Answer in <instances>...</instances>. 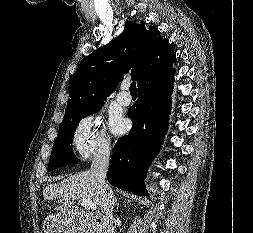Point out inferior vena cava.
Wrapping results in <instances>:
<instances>
[{
    "label": "inferior vena cava",
    "instance_id": "obj_1",
    "mask_svg": "<svg viewBox=\"0 0 253 233\" xmlns=\"http://www.w3.org/2000/svg\"><path fill=\"white\" fill-rule=\"evenodd\" d=\"M111 147L106 145L95 156L91 164L90 173L95 177L101 194V210L105 214V232L112 233L113 229V192L106 182Z\"/></svg>",
    "mask_w": 253,
    "mask_h": 233
}]
</instances>
